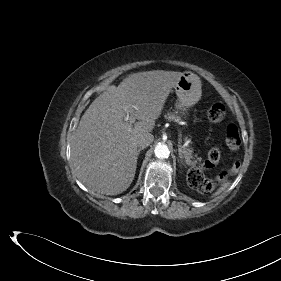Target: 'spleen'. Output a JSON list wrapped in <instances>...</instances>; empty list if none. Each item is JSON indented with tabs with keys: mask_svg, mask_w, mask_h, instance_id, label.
Instances as JSON below:
<instances>
[{
	"mask_svg": "<svg viewBox=\"0 0 281 281\" xmlns=\"http://www.w3.org/2000/svg\"><path fill=\"white\" fill-rule=\"evenodd\" d=\"M229 186H230V182H226V183L222 184V186L217 190V192H215L214 196H217V195L221 194V193L224 192Z\"/></svg>",
	"mask_w": 281,
	"mask_h": 281,
	"instance_id": "spleen-1",
	"label": "spleen"
}]
</instances>
